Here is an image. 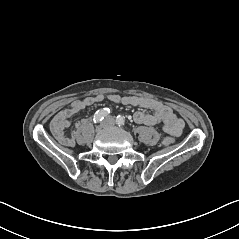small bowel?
<instances>
[{
    "mask_svg": "<svg viewBox=\"0 0 239 239\" xmlns=\"http://www.w3.org/2000/svg\"><path fill=\"white\" fill-rule=\"evenodd\" d=\"M105 99L113 103H122L152 110V113L144 111L135 112L133 119L138 124L147 126L161 125L164 132L176 137L180 136L183 132V120L179 118L169 106L156 99L138 96H120L118 94H110L107 96L95 94L72 102L69 108L61 110L56 114L51 122V130L55 138L66 146H74L77 132L74 131L68 135L65 131L66 128L70 126L74 116L86 106L102 102Z\"/></svg>",
    "mask_w": 239,
    "mask_h": 239,
    "instance_id": "c3829d8e",
    "label": "small bowel"
}]
</instances>
